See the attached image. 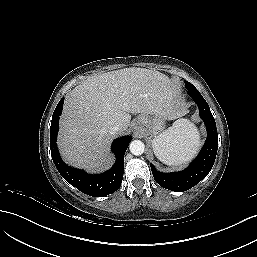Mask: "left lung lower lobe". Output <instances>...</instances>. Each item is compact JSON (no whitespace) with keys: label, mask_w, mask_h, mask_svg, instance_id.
Listing matches in <instances>:
<instances>
[{"label":"left lung lower lobe","mask_w":257,"mask_h":257,"mask_svg":"<svg viewBox=\"0 0 257 257\" xmlns=\"http://www.w3.org/2000/svg\"><path fill=\"white\" fill-rule=\"evenodd\" d=\"M198 105L201 118L204 120L207 129V139L198 157L188 168L171 173H162L150 164L155 181L163 188L183 192L198 184L204 179L214 164L218 149V133L215 119L210 111L209 105L201 96H191Z\"/></svg>","instance_id":"obj_1"}]
</instances>
